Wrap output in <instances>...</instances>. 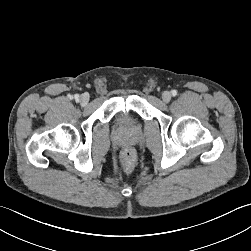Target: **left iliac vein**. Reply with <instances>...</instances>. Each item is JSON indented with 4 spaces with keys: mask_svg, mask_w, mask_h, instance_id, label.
Here are the masks:
<instances>
[{
    "mask_svg": "<svg viewBox=\"0 0 251 251\" xmlns=\"http://www.w3.org/2000/svg\"><path fill=\"white\" fill-rule=\"evenodd\" d=\"M171 93L169 92V91H164L163 93H162V99H163V101L164 102H169L170 100H171Z\"/></svg>",
    "mask_w": 251,
    "mask_h": 251,
    "instance_id": "1",
    "label": "left iliac vein"
}]
</instances>
